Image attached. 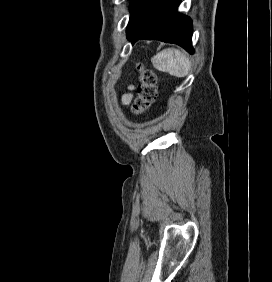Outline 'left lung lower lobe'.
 I'll return each instance as SVG.
<instances>
[{"label": "left lung lower lobe", "mask_w": 272, "mask_h": 282, "mask_svg": "<svg viewBox=\"0 0 272 282\" xmlns=\"http://www.w3.org/2000/svg\"><path fill=\"white\" fill-rule=\"evenodd\" d=\"M181 0H133L127 26V38L134 44L140 39L175 43L193 54L192 21L176 12Z\"/></svg>", "instance_id": "obj_1"}]
</instances>
